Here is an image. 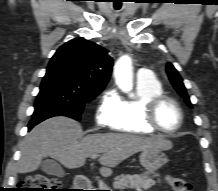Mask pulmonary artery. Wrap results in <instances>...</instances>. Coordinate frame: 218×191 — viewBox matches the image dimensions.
I'll use <instances>...</instances> for the list:
<instances>
[{
    "label": "pulmonary artery",
    "mask_w": 218,
    "mask_h": 191,
    "mask_svg": "<svg viewBox=\"0 0 218 191\" xmlns=\"http://www.w3.org/2000/svg\"><path fill=\"white\" fill-rule=\"evenodd\" d=\"M138 81H152L154 80V74L150 69H140L137 74Z\"/></svg>",
    "instance_id": "obj_1"
}]
</instances>
